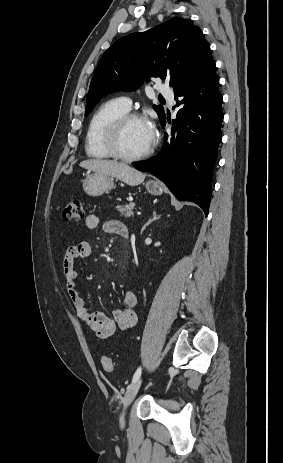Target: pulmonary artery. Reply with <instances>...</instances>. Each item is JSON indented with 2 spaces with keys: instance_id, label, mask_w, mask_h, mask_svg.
<instances>
[{
  "instance_id": "1",
  "label": "pulmonary artery",
  "mask_w": 283,
  "mask_h": 463,
  "mask_svg": "<svg viewBox=\"0 0 283 463\" xmlns=\"http://www.w3.org/2000/svg\"><path fill=\"white\" fill-rule=\"evenodd\" d=\"M158 91H159L160 95H161L163 98L168 99L170 102H173V101H174V92H173L170 88L165 87V86H160V87L158 88ZM121 100H122L123 105H124L126 108H128V109L131 108V106H132V101H131L130 98L124 97V98H122Z\"/></svg>"
}]
</instances>
